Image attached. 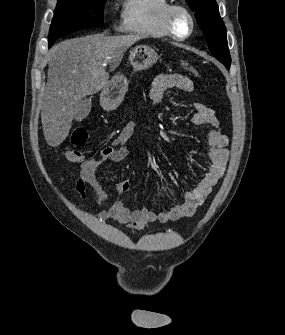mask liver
<instances>
[{
	"label": "liver",
	"mask_w": 285,
	"mask_h": 335,
	"mask_svg": "<svg viewBox=\"0 0 285 335\" xmlns=\"http://www.w3.org/2000/svg\"><path fill=\"white\" fill-rule=\"evenodd\" d=\"M143 36H84L65 40L50 50L46 94L41 112L44 138L56 148L67 138L76 110L85 96L108 84L110 68L119 66L124 52Z\"/></svg>",
	"instance_id": "obj_1"
}]
</instances>
